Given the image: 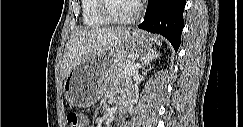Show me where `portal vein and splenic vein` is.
Instances as JSON below:
<instances>
[{
  "mask_svg": "<svg viewBox=\"0 0 243 127\" xmlns=\"http://www.w3.org/2000/svg\"><path fill=\"white\" fill-rule=\"evenodd\" d=\"M124 73H126V74H130V75H135V74H138V70L136 69V68H131V69H126L125 71H124Z\"/></svg>",
  "mask_w": 243,
  "mask_h": 127,
  "instance_id": "1",
  "label": "portal vein and splenic vein"
}]
</instances>
